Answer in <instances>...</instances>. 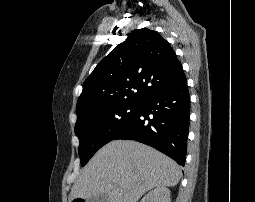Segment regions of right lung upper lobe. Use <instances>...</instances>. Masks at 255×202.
Returning <instances> with one entry per match:
<instances>
[{"mask_svg":"<svg viewBox=\"0 0 255 202\" xmlns=\"http://www.w3.org/2000/svg\"><path fill=\"white\" fill-rule=\"evenodd\" d=\"M186 81L170 44L156 31L137 29L95 67L83 83L77 119L103 107L142 103Z\"/></svg>","mask_w":255,"mask_h":202,"instance_id":"right-lung-upper-lobe-1","label":"right lung upper lobe"}]
</instances>
